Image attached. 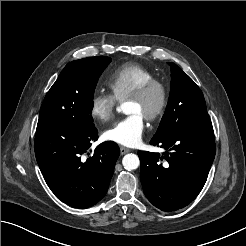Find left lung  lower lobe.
<instances>
[{
	"instance_id": "0a47b994",
	"label": "left lung lower lobe",
	"mask_w": 246,
	"mask_h": 246,
	"mask_svg": "<svg viewBox=\"0 0 246 246\" xmlns=\"http://www.w3.org/2000/svg\"><path fill=\"white\" fill-rule=\"evenodd\" d=\"M150 144L166 152L139 151L140 179L148 200L163 211H175L192 202L202 190L215 157L211 121L175 128Z\"/></svg>"
}]
</instances>
